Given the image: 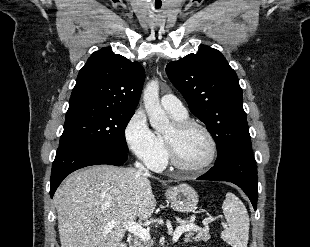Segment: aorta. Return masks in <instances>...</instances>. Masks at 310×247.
<instances>
[{"label": "aorta", "instance_id": "762f6f07", "mask_svg": "<svg viewBox=\"0 0 310 247\" xmlns=\"http://www.w3.org/2000/svg\"><path fill=\"white\" fill-rule=\"evenodd\" d=\"M143 100L151 126L157 131L168 129L169 119L159 101L158 80H152L146 85Z\"/></svg>", "mask_w": 310, "mask_h": 247}]
</instances>
